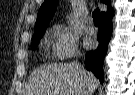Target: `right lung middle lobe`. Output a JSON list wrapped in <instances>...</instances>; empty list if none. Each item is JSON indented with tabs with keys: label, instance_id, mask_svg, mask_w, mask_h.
I'll use <instances>...</instances> for the list:
<instances>
[{
	"label": "right lung middle lobe",
	"instance_id": "obj_1",
	"mask_svg": "<svg viewBox=\"0 0 135 95\" xmlns=\"http://www.w3.org/2000/svg\"><path fill=\"white\" fill-rule=\"evenodd\" d=\"M45 31H41V32H35L34 33V36H33V41H32V44H31V49L34 50L37 48L39 42H40V39L43 37Z\"/></svg>",
	"mask_w": 135,
	"mask_h": 95
}]
</instances>
